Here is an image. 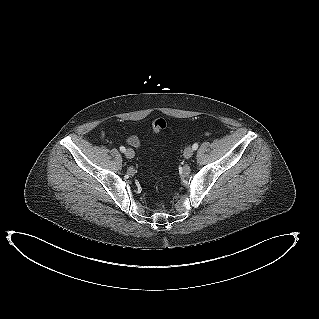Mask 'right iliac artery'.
Listing matches in <instances>:
<instances>
[{
  "instance_id": "right-iliac-artery-1",
  "label": "right iliac artery",
  "mask_w": 319,
  "mask_h": 319,
  "mask_svg": "<svg viewBox=\"0 0 319 319\" xmlns=\"http://www.w3.org/2000/svg\"><path fill=\"white\" fill-rule=\"evenodd\" d=\"M120 151H121V152H125V151H126L125 147H124V146H121V147H120Z\"/></svg>"
}]
</instances>
